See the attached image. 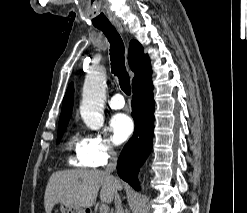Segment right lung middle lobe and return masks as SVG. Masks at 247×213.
<instances>
[{
  "label": "right lung middle lobe",
  "mask_w": 247,
  "mask_h": 213,
  "mask_svg": "<svg viewBox=\"0 0 247 213\" xmlns=\"http://www.w3.org/2000/svg\"><path fill=\"white\" fill-rule=\"evenodd\" d=\"M67 127V123L66 124H62L58 127V138H57V142L61 139L64 131L66 130Z\"/></svg>",
  "instance_id": "1"
}]
</instances>
